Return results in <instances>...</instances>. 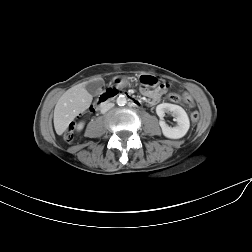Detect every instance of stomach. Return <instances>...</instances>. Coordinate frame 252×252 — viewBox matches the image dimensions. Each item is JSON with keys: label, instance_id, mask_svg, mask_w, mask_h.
Returning <instances> with one entry per match:
<instances>
[{"label": "stomach", "instance_id": "stomach-1", "mask_svg": "<svg viewBox=\"0 0 252 252\" xmlns=\"http://www.w3.org/2000/svg\"><path fill=\"white\" fill-rule=\"evenodd\" d=\"M124 80L125 79L120 78V77H115L114 78V81L116 83H122V82H124ZM153 80H154V78L149 74H143V75L140 76V81H141V83H144V84L152 85V84H154Z\"/></svg>", "mask_w": 252, "mask_h": 252}]
</instances>
